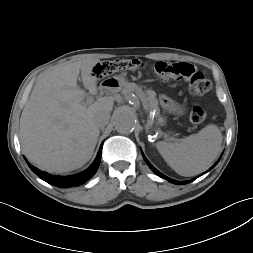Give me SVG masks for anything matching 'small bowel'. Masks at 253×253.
Instances as JSON below:
<instances>
[{"mask_svg": "<svg viewBox=\"0 0 253 253\" xmlns=\"http://www.w3.org/2000/svg\"><path fill=\"white\" fill-rule=\"evenodd\" d=\"M162 102L164 103V105L170 109H172L173 111H176V112H181V107L179 106H174L172 104H170L165 98H162Z\"/></svg>", "mask_w": 253, "mask_h": 253, "instance_id": "small-bowel-1", "label": "small bowel"}]
</instances>
